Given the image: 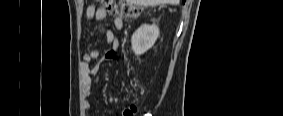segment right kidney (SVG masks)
Masks as SVG:
<instances>
[{"mask_svg": "<svg viewBox=\"0 0 283 116\" xmlns=\"http://www.w3.org/2000/svg\"><path fill=\"white\" fill-rule=\"evenodd\" d=\"M159 36V29L155 25H141L132 35L131 44L135 55H141L149 50Z\"/></svg>", "mask_w": 283, "mask_h": 116, "instance_id": "obj_1", "label": "right kidney"}]
</instances>
